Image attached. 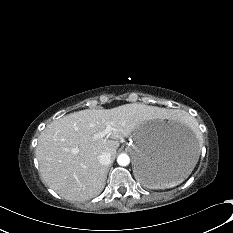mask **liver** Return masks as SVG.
Here are the masks:
<instances>
[{
    "label": "liver",
    "mask_w": 233,
    "mask_h": 233,
    "mask_svg": "<svg viewBox=\"0 0 233 233\" xmlns=\"http://www.w3.org/2000/svg\"><path fill=\"white\" fill-rule=\"evenodd\" d=\"M173 110L132 103L112 109H86L50 123L40 134L36 148L43 182L70 201H86L101 193L107 168L98 156H115L120 140L140 125L157 119H174ZM110 125L106 138L94 135Z\"/></svg>",
    "instance_id": "1"
}]
</instances>
